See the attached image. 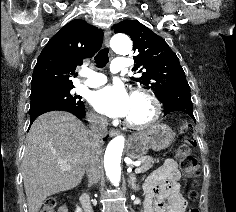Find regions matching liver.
I'll list each match as a JSON object with an SVG mask.
<instances>
[{
  "instance_id": "liver-1",
  "label": "liver",
  "mask_w": 236,
  "mask_h": 212,
  "mask_svg": "<svg viewBox=\"0 0 236 212\" xmlns=\"http://www.w3.org/2000/svg\"><path fill=\"white\" fill-rule=\"evenodd\" d=\"M91 153L90 130L73 114L53 111L38 117L27 135L22 163L29 212H39L47 197L79 185ZM61 165L72 170L63 171Z\"/></svg>"
}]
</instances>
